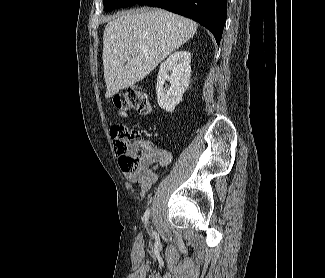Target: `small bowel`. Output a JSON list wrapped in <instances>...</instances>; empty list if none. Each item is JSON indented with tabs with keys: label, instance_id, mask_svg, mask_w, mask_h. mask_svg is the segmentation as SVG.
<instances>
[{
	"label": "small bowel",
	"instance_id": "obj_1",
	"mask_svg": "<svg viewBox=\"0 0 325 278\" xmlns=\"http://www.w3.org/2000/svg\"><path fill=\"white\" fill-rule=\"evenodd\" d=\"M147 144L149 147V155L144 159L140 168L136 171L124 172V176L128 182L139 185L141 196H144L152 185L158 181L159 176L156 173V169L168 166L172 160V156L168 151L158 149L151 143Z\"/></svg>",
	"mask_w": 325,
	"mask_h": 278
}]
</instances>
